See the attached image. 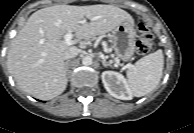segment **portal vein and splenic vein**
Wrapping results in <instances>:
<instances>
[{
  "label": "portal vein and splenic vein",
  "instance_id": "18ae733b",
  "mask_svg": "<svg viewBox=\"0 0 194 133\" xmlns=\"http://www.w3.org/2000/svg\"><path fill=\"white\" fill-rule=\"evenodd\" d=\"M86 22V20H82V23H85ZM73 34L72 33H66L65 35H64V41H65V43L67 44V45H72V44H74L73 43ZM103 46H104V50L106 51L107 49H106V44L105 43H103Z\"/></svg>",
  "mask_w": 194,
  "mask_h": 133
}]
</instances>
